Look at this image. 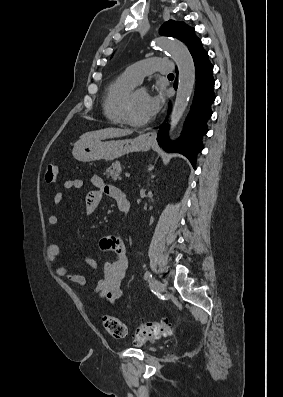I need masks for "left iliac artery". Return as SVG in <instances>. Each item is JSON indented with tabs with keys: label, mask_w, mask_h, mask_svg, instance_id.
Returning <instances> with one entry per match:
<instances>
[{
	"label": "left iliac artery",
	"mask_w": 283,
	"mask_h": 397,
	"mask_svg": "<svg viewBox=\"0 0 283 397\" xmlns=\"http://www.w3.org/2000/svg\"><path fill=\"white\" fill-rule=\"evenodd\" d=\"M144 279L147 280V281H151V279H152V274H151V272L147 271V272L145 273V275H144Z\"/></svg>",
	"instance_id": "44dca946"
}]
</instances>
